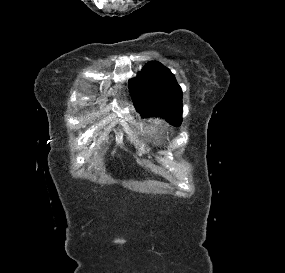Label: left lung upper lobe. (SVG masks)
Here are the masks:
<instances>
[{"instance_id":"1","label":"left lung upper lobe","mask_w":285,"mask_h":273,"mask_svg":"<svg viewBox=\"0 0 285 273\" xmlns=\"http://www.w3.org/2000/svg\"><path fill=\"white\" fill-rule=\"evenodd\" d=\"M134 104L142 114L160 116L170 124L182 122V91L174 74L158 62H150L129 80Z\"/></svg>"}]
</instances>
